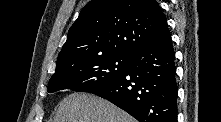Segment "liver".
Instances as JSON below:
<instances>
[{
  "label": "liver",
  "instance_id": "liver-1",
  "mask_svg": "<svg viewBox=\"0 0 221 122\" xmlns=\"http://www.w3.org/2000/svg\"><path fill=\"white\" fill-rule=\"evenodd\" d=\"M54 122H135V119L103 98L73 93L60 102Z\"/></svg>",
  "mask_w": 221,
  "mask_h": 122
}]
</instances>
